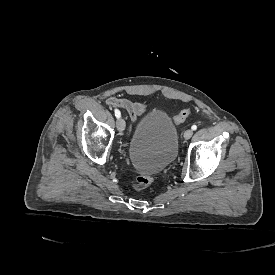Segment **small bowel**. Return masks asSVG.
<instances>
[{
  "mask_svg": "<svg viewBox=\"0 0 275 275\" xmlns=\"http://www.w3.org/2000/svg\"><path fill=\"white\" fill-rule=\"evenodd\" d=\"M106 104L110 107L125 110L133 123H136L138 118L147 112L146 104L142 102H133L125 97H108L106 99Z\"/></svg>",
  "mask_w": 275,
  "mask_h": 275,
  "instance_id": "small-bowel-1",
  "label": "small bowel"
}]
</instances>
